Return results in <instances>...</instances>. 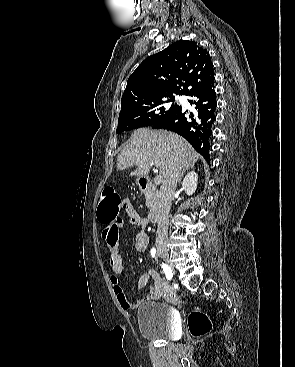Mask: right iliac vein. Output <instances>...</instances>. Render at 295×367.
<instances>
[{"mask_svg":"<svg viewBox=\"0 0 295 367\" xmlns=\"http://www.w3.org/2000/svg\"><path fill=\"white\" fill-rule=\"evenodd\" d=\"M158 254L160 255V257H162L170 265V267L173 270V273H175V270L173 268V265H172V263L170 261V256H169L168 251L166 249H164V248H159L158 249Z\"/></svg>","mask_w":295,"mask_h":367,"instance_id":"1","label":"right iliac vein"}]
</instances>
